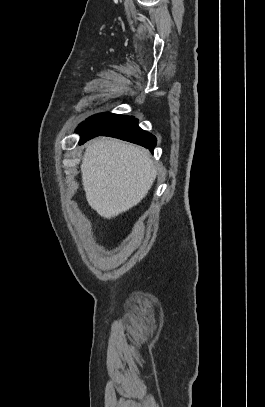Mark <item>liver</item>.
<instances>
[{"label":"liver","mask_w":265,"mask_h":407,"mask_svg":"<svg viewBox=\"0 0 265 407\" xmlns=\"http://www.w3.org/2000/svg\"><path fill=\"white\" fill-rule=\"evenodd\" d=\"M81 174L88 204L106 219L141 202L157 175L147 150L102 137L86 148Z\"/></svg>","instance_id":"liver-1"}]
</instances>
